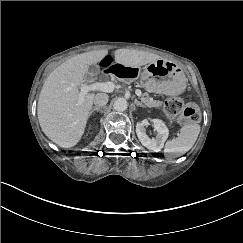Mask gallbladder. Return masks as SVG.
I'll return each instance as SVG.
<instances>
[{"label":"gallbladder","mask_w":243,"mask_h":243,"mask_svg":"<svg viewBox=\"0 0 243 243\" xmlns=\"http://www.w3.org/2000/svg\"><path fill=\"white\" fill-rule=\"evenodd\" d=\"M99 71H100V67L98 65H90L88 67L87 74L89 76H94V75H97L99 73Z\"/></svg>","instance_id":"1"}]
</instances>
